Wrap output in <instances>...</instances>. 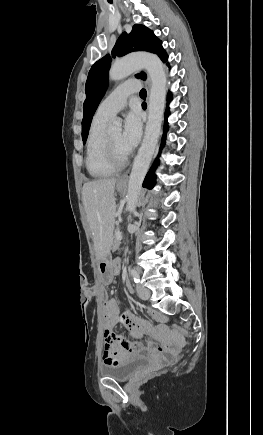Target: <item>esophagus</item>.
<instances>
[{
	"label": "esophagus",
	"mask_w": 263,
	"mask_h": 435,
	"mask_svg": "<svg viewBox=\"0 0 263 435\" xmlns=\"http://www.w3.org/2000/svg\"><path fill=\"white\" fill-rule=\"evenodd\" d=\"M146 86H147V99H146V103H149V92H150V86H151V81L149 79H147L146 81ZM127 179V173L123 174L122 176H120L119 178V182H124Z\"/></svg>",
	"instance_id": "1"
}]
</instances>
